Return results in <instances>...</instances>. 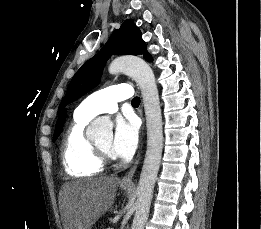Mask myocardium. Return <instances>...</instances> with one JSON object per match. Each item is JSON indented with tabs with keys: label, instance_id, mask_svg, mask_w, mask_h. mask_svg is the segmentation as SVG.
Instances as JSON below:
<instances>
[{
	"label": "myocardium",
	"instance_id": "f54148a6",
	"mask_svg": "<svg viewBox=\"0 0 261 229\" xmlns=\"http://www.w3.org/2000/svg\"><path fill=\"white\" fill-rule=\"evenodd\" d=\"M95 145H96V148H97L99 154L101 155V157L112 158V155H111V153L108 150L104 149L98 143H96Z\"/></svg>",
	"mask_w": 261,
	"mask_h": 229
}]
</instances>
